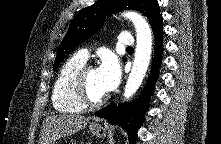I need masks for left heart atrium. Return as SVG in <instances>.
<instances>
[{"label":"left heart atrium","mask_w":221,"mask_h":144,"mask_svg":"<svg viewBox=\"0 0 221 144\" xmlns=\"http://www.w3.org/2000/svg\"><path fill=\"white\" fill-rule=\"evenodd\" d=\"M97 70L100 86L105 92H110L118 86L121 79V69L114 56H105Z\"/></svg>","instance_id":"39dd6f15"}]
</instances>
